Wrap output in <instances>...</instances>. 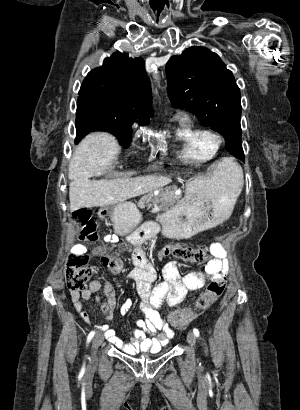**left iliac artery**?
Masks as SVG:
<instances>
[{
    "mask_svg": "<svg viewBox=\"0 0 300 410\" xmlns=\"http://www.w3.org/2000/svg\"><path fill=\"white\" fill-rule=\"evenodd\" d=\"M193 333L195 334L196 337H199L200 335L199 330L197 328L193 329Z\"/></svg>",
    "mask_w": 300,
    "mask_h": 410,
    "instance_id": "1",
    "label": "left iliac artery"
}]
</instances>
